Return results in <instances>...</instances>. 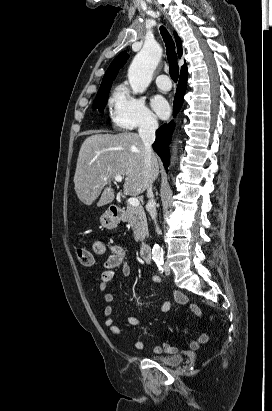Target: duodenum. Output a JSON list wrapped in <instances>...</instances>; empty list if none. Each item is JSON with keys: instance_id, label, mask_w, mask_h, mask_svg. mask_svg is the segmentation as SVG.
<instances>
[{"instance_id": "obj_1", "label": "duodenum", "mask_w": 272, "mask_h": 411, "mask_svg": "<svg viewBox=\"0 0 272 411\" xmlns=\"http://www.w3.org/2000/svg\"><path fill=\"white\" fill-rule=\"evenodd\" d=\"M109 212L112 216H114L115 218H118L122 215V213L124 212V209L118 205H111L109 208ZM140 255L146 263L152 262L151 248L146 242L141 243Z\"/></svg>"}]
</instances>
